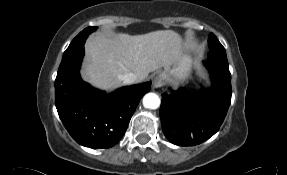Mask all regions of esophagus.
<instances>
[{"mask_svg": "<svg viewBox=\"0 0 287 175\" xmlns=\"http://www.w3.org/2000/svg\"><path fill=\"white\" fill-rule=\"evenodd\" d=\"M164 84V80L163 78H161V76H157L154 78V81H153V86L154 87H161L162 85Z\"/></svg>", "mask_w": 287, "mask_h": 175, "instance_id": "esophagus-1", "label": "esophagus"}]
</instances>
